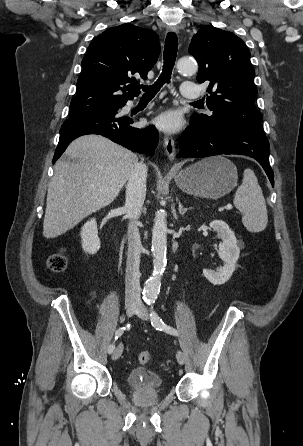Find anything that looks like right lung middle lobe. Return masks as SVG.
<instances>
[{
    "mask_svg": "<svg viewBox=\"0 0 303 446\" xmlns=\"http://www.w3.org/2000/svg\"><path fill=\"white\" fill-rule=\"evenodd\" d=\"M124 105L125 104L117 105V106H106V107H101L97 110L118 111V109L123 107ZM84 112H88V111H86V107L84 105H81L78 103H75V104L71 103L69 116L77 115V114L84 113Z\"/></svg>",
    "mask_w": 303,
    "mask_h": 446,
    "instance_id": "1",
    "label": "right lung middle lobe"
}]
</instances>
